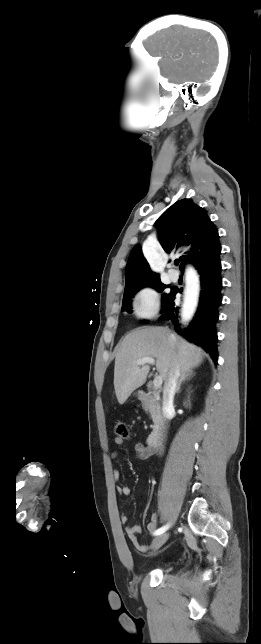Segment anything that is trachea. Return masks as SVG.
I'll return each instance as SVG.
<instances>
[{"label":"trachea","mask_w":261,"mask_h":644,"mask_svg":"<svg viewBox=\"0 0 261 644\" xmlns=\"http://www.w3.org/2000/svg\"><path fill=\"white\" fill-rule=\"evenodd\" d=\"M174 263H175V265H178V264H179V260H175V262H174Z\"/></svg>","instance_id":"1"}]
</instances>
